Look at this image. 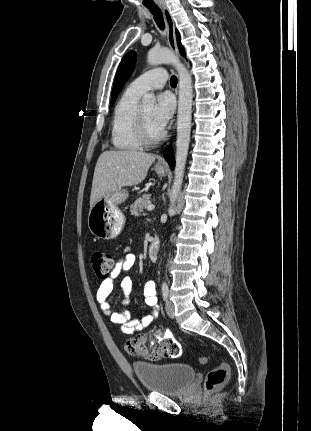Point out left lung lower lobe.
<instances>
[{"mask_svg": "<svg viewBox=\"0 0 311 431\" xmlns=\"http://www.w3.org/2000/svg\"><path fill=\"white\" fill-rule=\"evenodd\" d=\"M164 157H165L166 161L168 162L169 166L171 167V169H174L175 160H174L173 152H172V149L170 146L164 150Z\"/></svg>", "mask_w": 311, "mask_h": 431, "instance_id": "left-lung-lower-lobe-1", "label": "left lung lower lobe"}]
</instances>
